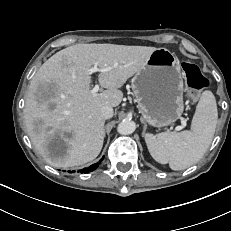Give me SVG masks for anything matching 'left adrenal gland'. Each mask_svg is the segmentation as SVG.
Returning a JSON list of instances; mask_svg holds the SVG:
<instances>
[{"instance_id":"left-adrenal-gland-1","label":"left adrenal gland","mask_w":231,"mask_h":231,"mask_svg":"<svg viewBox=\"0 0 231 231\" xmlns=\"http://www.w3.org/2000/svg\"><path fill=\"white\" fill-rule=\"evenodd\" d=\"M144 123V122H143ZM146 124L144 123V128H143V134H144V132H145V130H146Z\"/></svg>"}]
</instances>
